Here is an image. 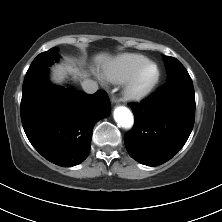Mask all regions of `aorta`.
Segmentation results:
<instances>
[{
    "label": "aorta",
    "instance_id": "aorta-1",
    "mask_svg": "<svg viewBox=\"0 0 222 222\" xmlns=\"http://www.w3.org/2000/svg\"><path fill=\"white\" fill-rule=\"evenodd\" d=\"M113 116L116 123L124 129H130L134 124V116L125 106L116 107Z\"/></svg>",
    "mask_w": 222,
    "mask_h": 222
}]
</instances>
